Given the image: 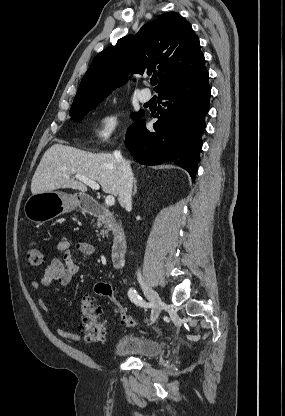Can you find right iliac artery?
Wrapping results in <instances>:
<instances>
[{
  "label": "right iliac artery",
  "instance_id": "1",
  "mask_svg": "<svg viewBox=\"0 0 285 416\" xmlns=\"http://www.w3.org/2000/svg\"><path fill=\"white\" fill-rule=\"evenodd\" d=\"M128 296L130 300L135 303L137 306L143 307L147 306V303L142 299V297L137 293L133 288H130L128 291Z\"/></svg>",
  "mask_w": 285,
  "mask_h": 416
}]
</instances>
